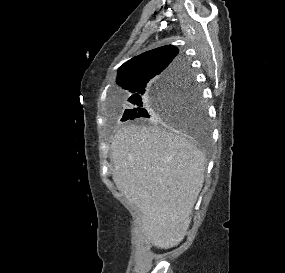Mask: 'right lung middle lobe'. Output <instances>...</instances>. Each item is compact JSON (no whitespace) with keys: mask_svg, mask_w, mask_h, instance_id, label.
Returning a JSON list of instances; mask_svg holds the SVG:
<instances>
[{"mask_svg":"<svg viewBox=\"0 0 285 273\" xmlns=\"http://www.w3.org/2000/svg\"><path fill=\"white\" fill-rule=\"evenodd\" d=\"M128 101L131 103L130 109L125 110L121 121H167L192 130L207 126L201 94L188 67L158 80L146 93Z\"/></svg>","mask_w":285,"mask_h":273,"instance_id":"obj_1","label":"right lung middle lobe"}]
</instances>
